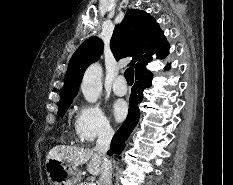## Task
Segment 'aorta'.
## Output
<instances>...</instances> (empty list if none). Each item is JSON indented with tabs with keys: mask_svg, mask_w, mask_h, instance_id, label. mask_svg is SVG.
Returning a JSON list of instances; mask_svg holds the SVG:
<instances>
[{
	"mask_svg": "<svg viewBox=\"0 0 233 185\" xmlns=\"http://www.w3.org/2000/svg\"><path fill=\"white\" fill-rule=\"evenodd\" d=\"M81 90L86 101L89 103L97 101L102 92V68L99 64H92L85 71Z\"/></svg>",
	"mask_w": 233,
	"mask_h": 185,
	"instance_id": "762f6f07",
	"label": "aorta"
}]
</instances>
